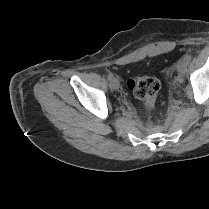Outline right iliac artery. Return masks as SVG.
Masks as SVG:
<instances>
[{
    "label": "right iliac artery",
    "instance_id": "82829eb1",
    "mask_svg": "<svg viewBox=\"0 0 209 209\" xmlns=\"http://www.w3.org/2000/svg\"><path fill=\"white\" fill-rule=\"evenodd\" d=\"M107 78H108L109 81H111L114 78V76H113L112 73H109Z\"/></svg>",
    "mask_w": 209,
    "mask_h": 209
}]
</instances>
